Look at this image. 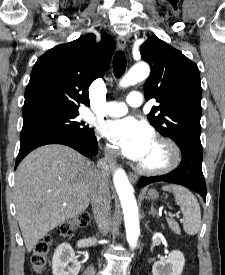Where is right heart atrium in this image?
<instances>
[{
    "label": "right heart atrium",
    "instance_id": "1",
    "mask_svg": "<svg viewBox=\"0 0 225 275\" xmlns=\"http://www.w3.org/2000/svg\"><path fill=\"white\" fill-rule=\"evenodd\" d=\"M106 158L110 161H113L115 158L114 151L109 147L106 149Z\"/></svg>",
    "mask_w": 225,
    "mask_h": 275
}]
</instances>
